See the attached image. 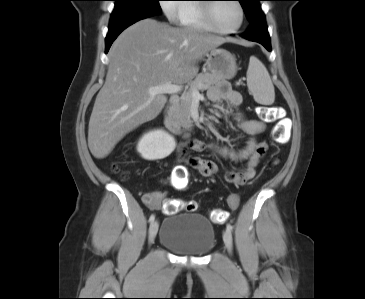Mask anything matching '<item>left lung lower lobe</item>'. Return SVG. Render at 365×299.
Wrapping results in <instances>:
<instances>
[{"mask_svg": "<svg viewBox=\"0 0 365 299\" xmlns=\"http://www.w3.org/2000/svg\"><path fill=\"white\" fill-rule=\"evenodd\" d=\"M247 40L262 44L271 51L270 36L268 33L265 17L252 23L249 30L243 35Z\"/></svg>", "mask_w": 365, "mask_h": 299, "instance_id": "1", "label": "left lung lower lobe"}]
</instances>
